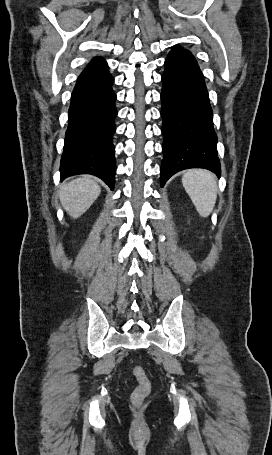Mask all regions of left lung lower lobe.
<instances>
[{"label":"left lung lower lobe","instance_id":"0a47b994","mask_svg":"<svg viewBox=\"0 0 272 455\" xmlns=\"http://www.w3.org/2000/svg\"><path fill=\"white\" fill-rule=\"evenodd\" d=\"M162 83L161 186L173 174L188 168H205L220 177L213 112L194 56L167 57Z\"/></svg>","mask_w":272,"mask_h":455}]
</instances>
